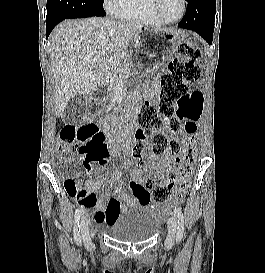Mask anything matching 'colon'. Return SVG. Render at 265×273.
Returning <instances> with one entry per match:
<instances>
[{
    "mask_svg": "<svg viewBox=\"0 0 265 273\" xmlns=\"http://www.w3.org/2000/svg\"><path fill=\"white\" fill-rule=\"evenodd\" d=\"M178 53L185 60H174L170 71L161 78L160 95L157 105L146 102L137 116L139 129L135 134L132 156L138 166L143 162V146L151 137L153 154L161 156L167 151L179 153L184 149V155L177 164L175 171L167 174L163 183L156 184L152 178H147L144 186L152 190L153 204H165L177 187L176 195L182 196L187 190V181L192 173L195 153L199 151L201 136L196 128L203 111L204 97L200 91H191L190 84L200 77L197 61L200 51L186 42L179 44ZM173 134L183 133L184 140L169 138L163 130ZM60 152L64 159L71 157L79 144L85 154L84 163L87 168L92 161H103L105 136L100 128L93 123L64 125L59 129ZM101 151L100 154H94ZM67 194L76 198L86 194L85 183L82 180L69 178L64 183ZM150 205V204H144ZM115 208H119L117 204Z\"/></svg>",
    "mask_w": 265,
    "mask_h": 273,
    "instance_id": "colon-1",
    "label": "colon"
}]
</instances>
